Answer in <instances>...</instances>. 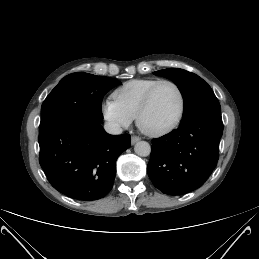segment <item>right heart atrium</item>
Masks as SVG:
<instances>
[{"instance_id": "obj_1", "label": "right heart atrium", "mask_w": 259, "mask_h": 259, "mask_svg": "<svg viewBox=\"0 0 259 259\" xmlns=\"http://www.w3.org/2000/svg\"><path fill=\"white\" fill-rule=\"evenodd\" d=\"M101 111L104 119L115 129L128 127L132 122V118L120 108L114 99H106Z\"/></svg>"}]
</instances>
